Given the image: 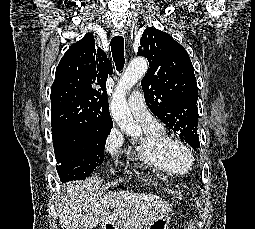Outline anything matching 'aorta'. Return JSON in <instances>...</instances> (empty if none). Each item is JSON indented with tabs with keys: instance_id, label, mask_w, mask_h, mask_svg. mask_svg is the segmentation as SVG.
Instances as JSON below:
<instances>
[{
	"instance_id": "aorta-1",
	"label": "aorta",
	"mask_w": 255,
	"mask_h": 229,
	"mask_svg": "<svg viewBox=\"0 0 255 229\" xmlns=\"http://www.w3.org/2000/svg\"><path fill=\"white\" fill-rule=\"evenodd\" d=\"M147 71V62L143 58H136L131 61L122 75L111 101V113L119 127L131 137L137 138L140 135L134 123L130 109L127 105L125 93L141 78Z\"/></svg>"
}]
</instances>
